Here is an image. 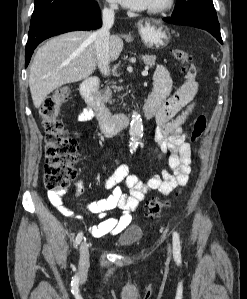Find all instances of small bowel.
Here are the masks:
<instances>
[{"mask_svg": "<svg viewBox=\"0 0 247 299\" xmlns=\"http://www.w3.org/2000/svg\"><path fill=\"white\" fill-rule=\"evenodd\" d=\"M197 83L194 77L186 75L185 81L173 90V83L169 71L164 66H158L154 73V88L147 101L157 108L155 119L157 128L155 141L163 153H168V168L142 181L138 175L131 173L128 164H120L112 175L103 180V187L111 190V194L86 205V209L100 219L98 224L89 227L94 237L117 235L132 221L135 212L151 190L167 196L173 191L184 187L191 172V147L186 141L182 125L195 108ZM185 108L183 111H181ZM181 111V112H180ZM91 110H85L79 116L80 121H87L92 117ZM124 188L127 192L124 191ZM81 181L76 183V194H83ZM51 192V203L65 216H74L62 202V195ZM121 210V216L108 217L112 210ZM77 218L82 217L77 215Z\"/></svg>", "mask_w": 247, "mask_h": 299, "instance_id": "small-bowel-1", "label": "small bowel"}]
</instances>
